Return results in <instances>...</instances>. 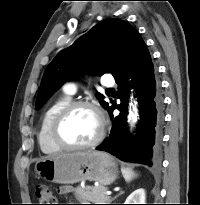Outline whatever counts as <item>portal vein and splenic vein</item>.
Segmentation results:
<instances>
[{
  "label": "portal vein and splenic vein",
  "instance_id": "18ae733b",
  "mask_svg": "<svg viewBox=\"0 0 200 205\" xmlns=\"http://www.w3.org/2000/svg\"><path fill=\"white\" fill-rule=\"evenodd\" d=\"M106 195H111L112 194V192L111 191H106V193H105Z\"/></svg>",
  "mask_w": 200,
  "mask_h": 205
}]
</instances>
